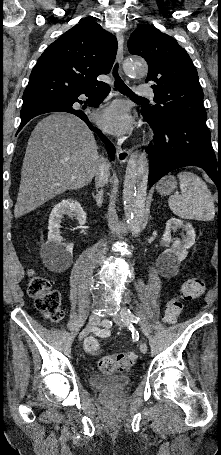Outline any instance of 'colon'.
I'll list each match as a JSON object with an SVG mask.
<instances>
[{"mask_svg": "<svg viewBox=\"0 0 221 455\" xmlns=\"http://www.w3.org/2000/svg\"><path fill=\"white\" fill-rule=\"evenodd\" d=\"M205 291V282L196 277L186 280L179 293L165 306L163 320L174 324L181 314L185 301L200 297ZM28 295L35 299L36 308L51 322L59 323L64 317L60 293L54 289L46 277L31 272L27 288ZM85 351L92 356L100 353L101 346L94 338L84 342ZM134 352H122L102 357L98 361L99 369L104 373L122 372L131 368L136 362Z\"/></svg>", "mask_w": 221, "mask_h": 455, "instance_id": "1", "label": "colon"}]
</instances>
